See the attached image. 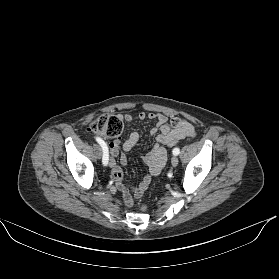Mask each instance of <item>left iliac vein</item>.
I'll return each instance as SVG.
<instances>
[{"instance_id":"left-iliac-vein-1","label":"left iliac vein","mask_w":279,"mask_h":279,"mask_svg":"<svg viewBox=\"0 0 279 279\" xmlns=\"http://www.w3.org/2000/svg\"><path fill=\"white\" fill-rule=\"evenodd\" d=\"M178 157L177 156H173L172 159H171V164L173 167H176L178 165Z\"/></svg>"}]
</instances>
